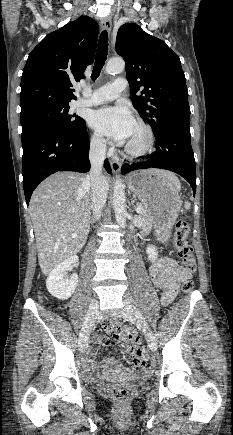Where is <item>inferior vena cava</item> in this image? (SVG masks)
<instances>
[{"mask_svg":"<svg viewBox=\"0 0 233 435\" xmlns=\"http://www.w3.org/2000/svg\"><path fill=\"white\" fill-rule=\"evenodd\" d=\"M105 152L106 143L104 139H97L91 144L89 152L91 170L86 178L91 182L94 220L100 219L102 208L107 200L108 183L102 175Z\"/></svg>","mask_w":233,"mask_h":435,"instance_id":"obj_1","label":"inferior vena cava"}]
</instances>
